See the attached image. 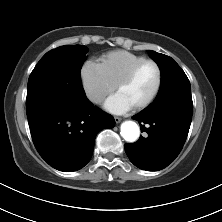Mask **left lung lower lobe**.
I'll list each match as a JSON object with an SVG mask.
<instances>
[{
  "label": "left lung lower lobe",
  "instance_id": "left-lung-lower-lobe-1",
  "mask_svg": "<svg viewBox=\"0 0 222 222\" xmlns=\"http://www.w3.org/2000/svg\"><path fill=\"white\" fill-rule=\"evenodd\" d=\"M192 111L191 95L170 94L133 116L148 136H140L137 142L125 144L130 161L147 171H158L172 163L186 141ZM144 124L149 127L145 128Z\"/></svg>",
  "mask_w": 222,
  "mask_h": 222
}]
</instances>
